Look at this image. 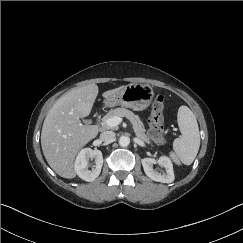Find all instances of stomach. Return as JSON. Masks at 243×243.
Segmentation results:
<instances>
[{
  "label": "stomach",
  "instance_id": "0dacf381",
  "mask_svg": "<svg viewBox=\"0 0 243 243\" xmlns=\"http://www.w3.org/2000/svg\"><path fill=\"white\" fill-rule=\"evenodd\" d=\"M154 97L153 87L148 84H129L114 96L107 98L105 104L109 107L121 105L135 111L146 109Z\"/></svg>",
  "mask_w": 243,
  "mask_h": 243
}]
</instances>
